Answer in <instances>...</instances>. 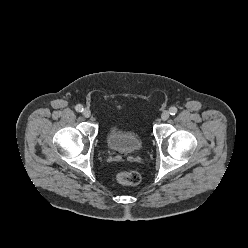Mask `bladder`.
<instances>
[{
  "label": "bladder",
  "instance_id": "31cf9c89",
  "mask_svg": "<svg viewBox=\"0 0 248 248\" xmlns=\"http://www.w3.org/2000/svg\"><path fill=\"white\" fill-rule=\"evenodd\" d=\"M105 141L111 150L123 154L136 153L143 147V140L136 132L116 123L108 125Z\"/></svg>",
  "mask_w": 248,
  "mask_h": 248
}]
</instances>
